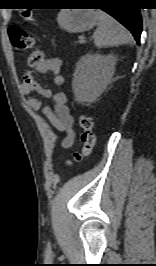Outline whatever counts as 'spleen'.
Segmentation results:
<instances>
[{"label": "spleen", "instance_id": "1", "mask_svg": "<svg viewBox=\"0 0 156 266\" xmlns=\"http://www.w3.org/2000/svg\"><path fill=\"white\" fill-rule=\"evenodd\" d=\"M98 27L93 33L94 44L97 48H107L131 42L130 34L114 18L102 10L95 12Z\"/></svg>", "mask_w": 156, "mask_h": 266}]
</instances>
